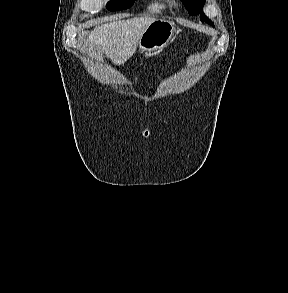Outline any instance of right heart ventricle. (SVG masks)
Here are the masks:
<instances>
[{"mask_svg": "<svg viewBox=\"0 0 288 293\" xmlns=\"http://www.w3.org/2000/svg\"><path fill=\"white\" fill-rule=\"evenodd\" d=\"M168 7L169 5L165 0H153L149 5V9L154 12H161L166 10Z\"/></svg>", "mask_w": 288, "mask_h": 293, "instance_id": "obj_1", "label": "right heart ventricle"}]
</instances>
